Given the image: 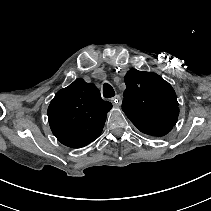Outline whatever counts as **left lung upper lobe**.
<instances>
[{"label": "left lung upper lobe", "instance_id": "left-lung-upper-lobe-1", "mask_svg": "<svg viewBox=\"0 0 211 211\" xmlns=\"http://www.w3.org/2000/svg\"><path fill=\"white\" fill-rule=\"evenodd\" d=\"M122 110L144 134L161 137L169 133L179 115L172 86L153 72L131 69L125 75Z\"/></svg>", "mask_w": 211, "mask_h": 211}]
</instances>
